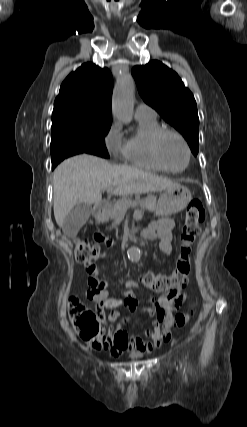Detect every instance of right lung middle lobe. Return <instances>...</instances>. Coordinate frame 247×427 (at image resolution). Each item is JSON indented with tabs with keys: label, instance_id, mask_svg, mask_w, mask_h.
<instances>
[{
	"label": "right lung middle lobe",
	"instance_id": "1",
	"mask_svg": "<svg viewBox=\"0 0 247 427\" xmlns=\"http://www.w3.org/2000/svg\"><path fill=\"white\" fill-rule=\"evenodd\" d=\"M111 123L71 111L52 114L51 157L74 152L108 158L104 137Z\"/></svg>",
	"mask_w": 247,
	"mask_h": 427
}]
</instances>
